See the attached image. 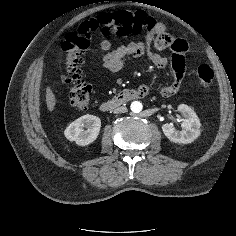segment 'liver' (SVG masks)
I'll return each mask as SVG.
<instances>
[{
    "mask_svg": "<svg viewBox=\"0 0 236 236\" xmlns=\"http://www.w3.org/2000/svg\"><path fill=\"white\" fill-rule=\"evenodd\" d=\"M56 97L54 95V93L52 92L50 87L46 88V104H47V108L50 112H52L55 108L56 105Z\"/></svg>",
    "mask_w": 236,
    "mask_h": 236,
    "instance_id": "obj_1",
    "label": "liver"
}]
</instances>
